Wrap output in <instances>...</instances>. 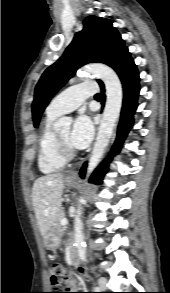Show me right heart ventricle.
I'll use <instances>...</instances> for the list:
<instances>
[{
    "instance_id": "right-heart-ventricle-1",
    "label": "right heart ventricle",
    "mask_w": 170,
    "mask_h": 293,
    "mask_svg": "<svg viewBox=\"0 0 170 293\" xmlns=\"http://www.w3.org/2000/svg\"><path fill=\"white\" fill-rule=\"evenodd\" d=\"M58 116L46 112L40 127L37 162L39 170L44 174L61 170L67 161L55 149L53 122Z\"/></svg>"
}]
</instances>
